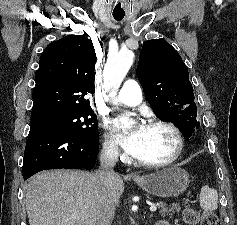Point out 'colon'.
Wrapping results in <instances>:
<instances>
[{
  "label": "colon",
  "instance_id": "5ec220e1",
  "mask_svg": "<svg viewBox=\"0 0 237 225\" xmlns=\"http://www.w3.org/2000/svg\"><path fill=\"white\" fill-rule=\"evenodd\" d=\"M182 219L188 225H221L219 219L214 213L205 212L201 216L198 211L192 207H186L182 212Z\"/></svg>",
  "mask_w": 237,
  "mask_h": 225
}]
</instances>
